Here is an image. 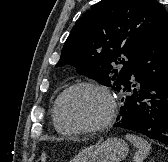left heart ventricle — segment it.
Here are the masks:
<instances>
[{
	"label": "left heart ventricle",
	"instance_id": "left-heart-ventricle-1",
	"mask_svg": "<svg viewBox=\"0 0 168 162\" xmlns=\"http://www.w3.org/2000/svg\"><path fill=\"white\" fill-rule=\"evenodd\" d=\"M61 110L71 124L93 125L107 117L110 105L100 92L82 88L72 91L64 98Z\"/></svg>",
	"mask_w": 168,
	"mask_h": 162
}]
</instances>
